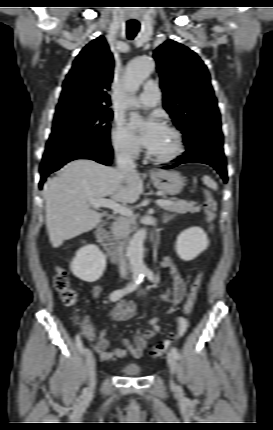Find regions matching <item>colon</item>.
<instances>
[{
	"label": "colon",
	"instance_id": "5ec220e1",
	"mask_svg": "<svg viewBox=\"0 0 273 430\" xmlns=\"http://www.w3.org/2000/svg\"><path fill=\"white\" fill-rule=\"evenodd\" d=\"M204 214L208 223H212L216 215V202L209 191L205 192ZM203 273L199 272L192 282L188 298L184 304L183 311L186 315H191L197 294L202 284ZM55 289L60 293L63 303L66 306H73L77 303L78 295L76 290L71 286L69 278L61 268L57 269L54 278ZM76 322L83 334L90 337L93 333V327L86 317H76ZM186 330V325H179L178 332ZM177 338V334H170L165 340L158 342L150 351L152 357L164 355Z\"/></svg>",
	"mask_w": 273,
	"mask_h": 430
}]
</instances>
